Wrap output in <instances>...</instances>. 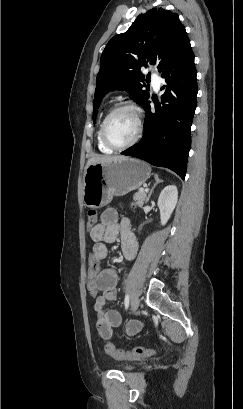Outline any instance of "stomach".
I'll return each mask as SVG.
<instances>
[{
  "mask_svg": "<svg viewBox=\"0 0 243 409\" xmlns=\"http://www.w3.org/2000/svg\"><path fill=\"white\" fill-rule=\"evenodd\" d=\"M151 168L145 162L123 157L86 167L83 177V202L89 208H101L114 196L136 190L150 177Z\"/></svg>",
  "mask_w": 243,
  "mask_h": 409,
  "instance_id": "0dacf381",
  "label": "stomach"
}]
</instances>
